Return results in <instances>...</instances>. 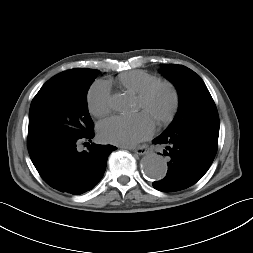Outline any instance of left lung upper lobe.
I'll use <instances>...</instances> for the list:
<instances>
[{
  "instance_id": "5c2ea615",
  "label": "left lung upper lobe",
  "mask_w": 253,
  "mask_h": 253,
  "mask_svg": "<svg viewBox=\"0 0 253 253\" xmlns=\"http://www.w3.org/2000/svg\"><path fill=\"white\" fill-rule=\"evenodd\" d=\"M160 71L177 87L180 103L176 117L164 133L205 121L219 122L215 103L198 74L176 64H165Z\"/></svg>"
}]
</instances>
